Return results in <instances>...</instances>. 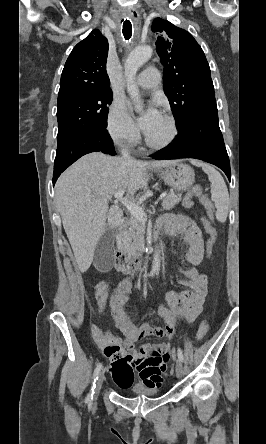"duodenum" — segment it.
I'll return each mask as SVG.
<instances>
[{
	"label": "duodenum",
	"mask_w": 266,
	"mask_h": 444,
	"mask_svg": "<svg viewBox=\"0 0 266 444\" xmlns=\"http://www.w3.org/2000/svg\"><path fill=\"white\" fill-rule=\"evenodd\" d=\"M115 267L118 271L127 275H132L140 269V266L135 263L127 253L121 235L118 237L116 242Z\"/></svg>",
	"instance_id": "duodenum-1"
}]
</instances>
